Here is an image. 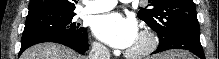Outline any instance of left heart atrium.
Listing matches in <instances>:
<instances>
[{"instance_id":"1","label":"left heart atrium","mask_w":219,"mask_h":59,"mask_svg":"<svg viewBox=\"0 0 219 59\" xmlns=\"http://www.w3.org/2000/svg\"><path fill=\"white\" fill-rule=\"evenodd\" d=\"M92 30L99 40L117 48H130L139 36L136 21L119 12L95 17Z\"/></svg>"}]
</instances>
